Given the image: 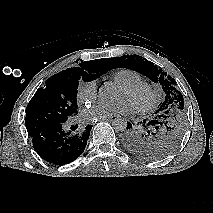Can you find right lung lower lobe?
I'll use <instances>...</instances> for the list:
<instances>
[{"instance_id": "obj_1", "label": "right lung lower lobe", "mask_w": 213, "mask_h": 213, "mask_svg": "<svg viewBox=\"0 0 213 213\" xmlns=\"http://www.w3.org/2000/svg\"><path fill=\"white\" fill-rule=\"evenodd\" d=\"M65 123H56L34 133L33 148L45 161L65 165L78 158L84 151L89 138L91 125L81 133L73 134L64 130Z\"/></svg>"}]
</instances>
